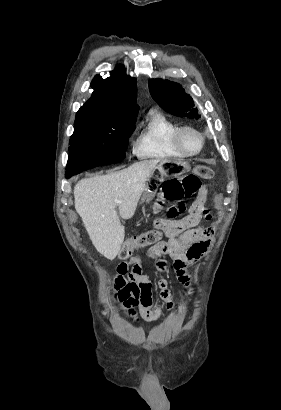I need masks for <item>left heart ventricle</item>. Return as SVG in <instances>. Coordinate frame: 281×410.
I'll use <instances>...</instances> for the list:
<instances>
[{
  "label": "left heart ventricle",
  "instance_id": "obj_1",
  "mask_svg": "<svg viewBox=\"0 0 281 410\" xmlns=\"http://www.w3.org/2000/svg\"><path fill=\"white\" fill-rule=\"evenodd\" d=\"M184 143L189 150H196L200 146V139L195 133L188 132L184 136Z\"/></svg>",
  "mask_w": 281,
  "mask_h": 410
}]
</instances>
